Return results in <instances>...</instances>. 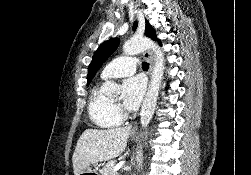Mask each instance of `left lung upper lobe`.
I'll list each match as a JSON object with an SVG mask.
<instances>
[{"label": "left lung upper lobe", "mask_w": 251, "mask_h": 175, "mask_svg": "<svg viewBox=\"0 0 251 175\" xmlns=\"http://www.w3.org/2000/svg\"><path fill=\"white\" fill-rule=\"evenodd\" d=\"M137 27V23H134L133 28ZM145 35L157 40L155 30L153 27L146 21ZM119 38H111L105 42H103L96 52L93 55L92 62L89 65V72L87 75V85L91 83V80L94 78L95 74L102 66V64L108 59V57L116 50L119 45Z\"/></svg>", "instance_id": "obj_1"}]
</instances>
